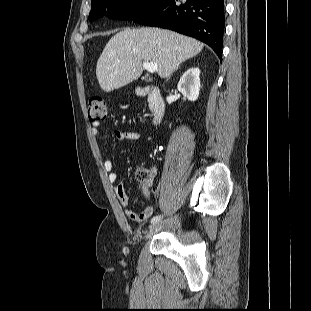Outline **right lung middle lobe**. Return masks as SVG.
Masks as SVG:
<instances>
[{"label":"right lung middle lobe","instance_id":"dd1d6c3e","mask_svg":"<svg viewBox=\"0 0 311 311\" xmlns=\"http://www.w3.org/2000/svg\"><path fill=\"white\" fill-rule=\"evenodd\" d=\"M160 0H95L91 2L89 21L104 15L113 19L132 20Z\"/></svg>","mask_w":311,"mask_h":311}]
</instances>
